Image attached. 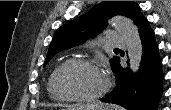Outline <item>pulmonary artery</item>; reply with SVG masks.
Returning <instances> with one entry per match:
<instances>
[{
  "instance_id": "e3ab8cb5",
  "label": "pulmonary artery",
  "mask_w": 171,
  "mask_h": 110,
  "mask_svg": "<svg viewBox=\"0 0 171 110\" xmlns=\"http://www.w3.org/2000/svg\"><path fill=\"white\" fill-rule=\"evenodd\" d=\"M104 43L111 47H122L126 44V40L118 33L110 32L105 36Z\"/></svg>"
}]
</instances>
